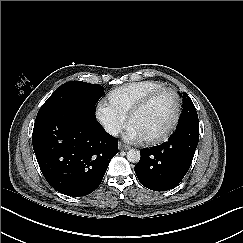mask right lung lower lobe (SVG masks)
<instances>
[{"instance_id":"98d812e1","label":"right lung lower lobe","mask_w":243,"mask_h":243,"mask_svg":"<svg viewBox=\"0 0 243 243\" xmlns=\"http://www.w3.org/2000/svg\"><path fill=\"white\" fill-rule=\"evenodd\" d=\"M33 149L46 181L69 196H85L101 183L118 139L73 105L48 108L37 115Z\"/></svg>"}]
</instances>
